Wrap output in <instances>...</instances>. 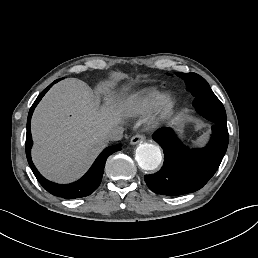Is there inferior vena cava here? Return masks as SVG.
Instances as JSON below:
<instances>
[{
    "label": "inferior vena cava",
    "mask_w": 258,
    "mask_h": 258,
    "mask_svg": "<svg viewBox=\"0 0 258 258\" xmlns=\"http://www.w3.org/2000/svg\"><path fill=\"white\" fill-rule=\"evenodd\" d=\"M122 134H123V128L116 127V128L110 129L106 136L109 141H118L122 138Z\"/></svg>",
    "instance_id": "602c4592"
}]
</instances>
